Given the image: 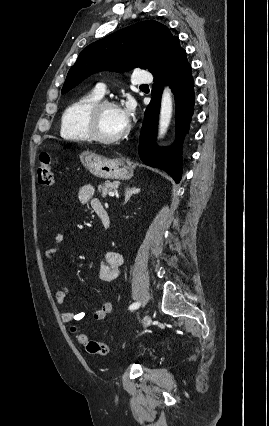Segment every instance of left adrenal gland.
Segmentation results:
<instances>
[{
    "label": "left adrenal gland",
    "instance_id": "left-adrenal-gland-1",
    "mask_svg": "<svg viewBox=\"0 0 269 426\" xmlns=\"http://www.w3.org/2000/svg\"><path fill=\"white\" fill-rule=\"evenodd\" d=\"M140 192V188H129L127 187L125 189V200H124V204H126L129 200L130 197L133 196L134 194H137Z\"/></svg>",
    "mask_w": 269,
    "mask_h": 426
}]
</instances>
